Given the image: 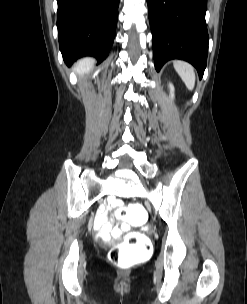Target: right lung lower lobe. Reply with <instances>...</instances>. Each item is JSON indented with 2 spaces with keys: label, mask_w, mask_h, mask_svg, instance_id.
Masks as SVG:
<instances>
[{
  "label": "right lung lower lobe",
  "mask_w": 247,
  "mask_h": 304,
  "mask_svg": "<svg viewBox=\"0 0 247 304\" xmlns=\"http://www.w3.org/2000/svg\"><path fill=\"white\" fill-rule=\"evenodd\" d=\"M60 50L66 64L82 56L103 61L112 47L119 0H57Z\"/></svg>",
  "instance_id": "1"
}]
</instances>
